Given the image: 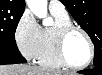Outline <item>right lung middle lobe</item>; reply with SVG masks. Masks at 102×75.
Returning a JSON list of instances; mask_svg holds the SVG:
<instances>
[{
  "label": "right lung middle lobe",
  "mask_w": 102,
  "mask_h": 75,
  "mask_svg": "<svg viewBox=\"0 0 102 75\" xmlns=\"http://www.w3.org/2000/svg\"><path fill=\"white\" fill-rule=\"evenodd\" d=\"M23 12L0 7V49H17L15 31Z\"/></svg>",
  "instance_id": "right-lung-middle-lobe-1"
}]
</instances>
